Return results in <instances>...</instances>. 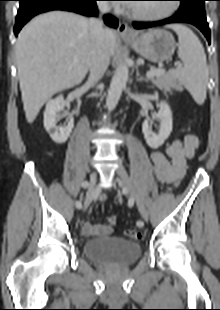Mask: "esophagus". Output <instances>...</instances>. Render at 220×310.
<instances>
[{"mask_svg":"<svg viewBox=\"0 0 220 310\" xmlns=\"http://www.w3.org/2000/svg\"><path fill=\"white\" fill-rule=\"evenodd\" d=\"M117 33H118V35L123 36V37H129V36L133 35V31L124 22L119 24L118 29H117Z\"/></svg>","mask_w":220,"mask_h":310,"instance_id":"1","label":"esophagus"}]
</instances>
